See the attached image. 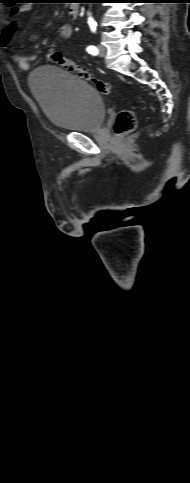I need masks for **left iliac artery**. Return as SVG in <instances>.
I'll list each match as a JSON object with an SVG mask.
<instances>
[{
    "instance_id": "44dca946",
    "label": "left iliac artery",
    "mask_w": 190,
    "mask_h": 483,
    "mask_svg": "<svg viewBox=\"0 0 190 483\" xmlns=\"http://www.w3.org/2000/svg\"><path fill=\"white\" fill-rule=\"evenodd\" d=\"M87 52L89 54H92V55H97L98 54V49L95 46L90 45V46L87 47Z\"/></svg>"
}]
</instances>
